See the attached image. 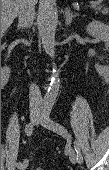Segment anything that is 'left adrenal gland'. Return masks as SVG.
Returning a JSON list of instances; mask_svg holds the SVG:
<instances>
[{
    "label": "left adrenal gland",
    "instance_id": "1",
    "mask_svg": "<svg viewBox=\"0 0 109 170\" xmlns=\"http://www.w3.org/2000/svg\"><path fill=\"white\" fill-rule=\"evenodd\" d=\"M76 16H78V14L77 13H72L70 11V9L67 7L65 9V18H66L65 19V24L70 25L72 23L73 18H75Z\"/></svg>",
    "mask_w": 109,
    "mask_h": 170
}]
</instances>
